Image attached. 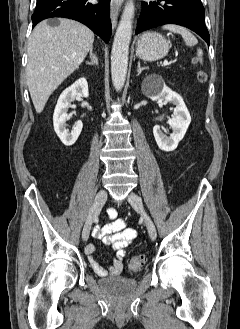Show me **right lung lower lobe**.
I'll use <instances>...</instances> for the list:
<instances>
[{
  "label": "right lung lower lobe",
  "instance_id": "98d812e1",
  "mask_svg": "<svg viewBox=\"0 0 240 329\" xmlns=\"http://www.w3.org/2000/svg\"><path fill=\"white\" fill-rule=\"evenodd\" d=\"M87 0H37L32 15L33 27L40 21L52 17H65L79 21L108 43L112 26L110 22V0H100L97 5Z\"/></svg>",
  "mask_w": 240,
  "mask_h": 329
}]
</instances>
